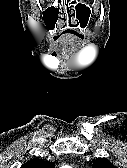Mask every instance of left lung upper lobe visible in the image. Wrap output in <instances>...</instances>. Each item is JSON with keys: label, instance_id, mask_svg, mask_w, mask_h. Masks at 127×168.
<instances>
[{"label": "left lung upper lobe", "instance_id": "5c2ea615", "mask_svg": "<svg viewBox=\"0 0 127 168\" xmlns=\"http://www.w3.org/2000/svg\"><path fill=\"white\" fill-rule=\"evenodd\" d=\"M92 168H116V167L106 158H98L94 160Z\"/></svg>", "mask_w": 127, "mask_h": 168}]
</instances>
